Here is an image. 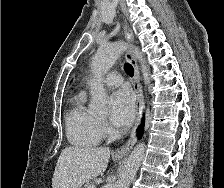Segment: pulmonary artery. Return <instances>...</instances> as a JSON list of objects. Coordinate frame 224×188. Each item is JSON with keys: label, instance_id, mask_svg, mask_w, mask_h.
I'll use <instances>...</instances> for the list:
<instances>
[{"label": "pulmonary artery", "instance_id": "obj_1", "mask_svg": "<svg viewBox=\"0 0 224 188\" xmlns=\"http://www.w3.org/2000/svg\"><path fill=\"white\" fill-rule=\"evenodd\" d=\"M103 84L110 88L119 87L123 83L122 76L117 72H110L103 78Z\"/></svg>", "mask_w": 224, "mask_h": 188}]
</instances>
